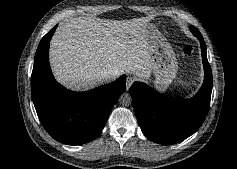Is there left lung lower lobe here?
<instances>
[{"instance_id":"0a47b994","label":"left lung lower lobe","mask_w":237,"mask_h":169,"mask_svg":"<svg viewBox=\"0 0 237 169\" xmlns=\"http://www.w3.org/2000/svg\"><path fill=\"white\" fill-rule=\"evenodd\" d=\"M201 43L204 84L195 97L173 101L162 97L144 83L135 82L130 89L140 128L144 135L160 144H173L198 130L208 111L212 91V73L206 47L199 31L190 27Z\"/></svg>"}]
</instances>
